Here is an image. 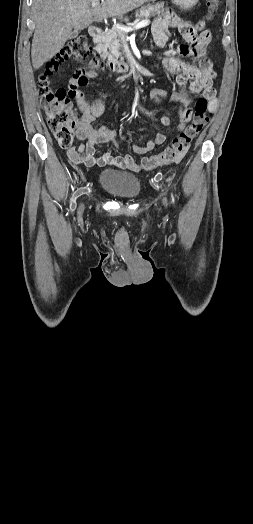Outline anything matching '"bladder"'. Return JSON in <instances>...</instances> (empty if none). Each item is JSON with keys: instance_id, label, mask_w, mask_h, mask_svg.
<instances>
[{"instance_id": "1", "label": "bladder", "mask_w": 253, "mask_h": 524, "mask_svg": "<svg viewBox=\"0 0 253 524\" xmlns=\"http://www.w3.org/2000/svg\"><path fill=\"white\" fill-rule=\"evenodd\" d=\"M100 185L118 199H134L141 191V181L137 175L111 169L100 173Z\"/></svg>"}]
</instances>
